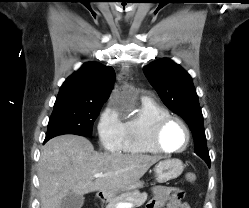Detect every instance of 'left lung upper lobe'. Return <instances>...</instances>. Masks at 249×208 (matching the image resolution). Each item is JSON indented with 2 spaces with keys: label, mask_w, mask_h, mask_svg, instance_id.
I'll use <instances>...</instances> for the list:
<instances>
[{
  "label": "left lung upper lobe",
  "mask_w": 249,
  "mask_h": 208,
  "mask_svg": "<svg viewBox=\"0 0 249 208\" xmlns=\"http://www.w3.org/2000/svg\"><path fill=\"white\" fill-rule=\"evenodd\" d=\"M163 103L178 113L193 132L195 153L210 166L203 115L191 76L170 59L156 60L143 68Z\"/></svg>",
  "instance_id": "5c2ea615"
}]
</instances>
